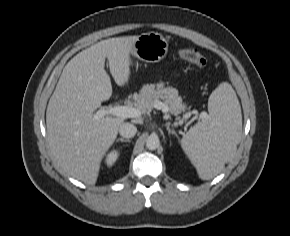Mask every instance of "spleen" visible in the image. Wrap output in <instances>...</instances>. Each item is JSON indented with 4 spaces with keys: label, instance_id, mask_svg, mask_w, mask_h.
Segmentation results:
<instances>
[{
    "label": "spleen",
    "instance_id": "1",
    "mask_svg": "<svg viewBox=\"0 0 290 236\" xmlns=\"http://www.w3.org/2000/svg\"><path fill=\"white\" fill-rule=\"evenodd\" d=\"M208 112L181 140L182 149L203 180L215 177L224 169L241 139V107L229 83H221L211 93Z\"/></svg>",
    "mask_w": 290,
    "mask_h": 236
}]
</instances>
